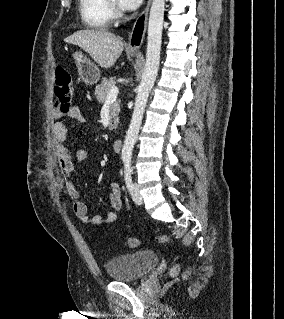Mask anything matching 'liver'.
Here are the masks:
<instances>
[{
	"label": "liver",
	"mask_w": 284,
	"mask_h": 319,
	"mask_svg": "<svg viewBox=\"0 0 284 319\" xmlns=\"http://www.w3.org/2000/svg\"><path fill=\"white\" fill-rule=\"evenodd\" d=\"M78 45L102 68H110L121 55L124 44L121 38L107 30H79L65 39Z\"/></svg>",
	"instance_id": "1"
}]
</instances>
